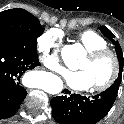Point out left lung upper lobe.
<instances>
[{
    "label": "left lung upper lobe",
    "instance_id": "left-lung-upper-lobe-1",
    "mask_svg": "<svg viewBox=\"0 0 124 124\" xmlns=\"http://www.w3.org/2000/svg\"><path fill=\"white\" fill-rule=\"evenodd\" d=\"M100 30L102 34L114 44L117 57L120 62L118 78L115 80L114 84L112 85L113 87H116L118 89L122 79V71H123V64H124L122 49L119 45V42L114 39V34L107 27L101 26Z\"/></svg>",
    "mask_w": 124,
    "mask_h": 124
}]
</instances>
